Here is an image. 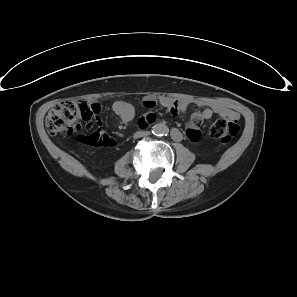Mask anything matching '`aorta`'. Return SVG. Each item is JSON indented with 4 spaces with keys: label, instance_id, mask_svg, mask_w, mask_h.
Returning <instances> with one entry per match:
<instances>
[{
    "label": "aorta",
    "instance_id": "aorta-1",
    "mask_svg": "<svg viewBox=\"0 0 297 297\" xmlns=\"http://www.w3.org/2000/svg\"><path fill=\"white\" fill-rule=\"evenodd\" d=\"M168 131H169L168 127L163 123L155 124L152 130L153 134L158 136H163L167 134Z\"/></svg>",
    "mask_w": 297,
    "mask_h": 297
}]
</instances>
